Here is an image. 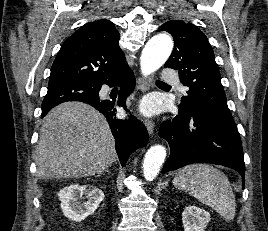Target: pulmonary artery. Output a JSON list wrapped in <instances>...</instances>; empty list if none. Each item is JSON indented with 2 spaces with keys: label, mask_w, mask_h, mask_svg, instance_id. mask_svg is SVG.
<instances>
[{
  "label": "pulmonary artery",
  "mask_w": 268,
  "mask_h": 231,
  "mask_svg": "<svg viewBox=\"0 0 268 231\" xmlns=\"http://www.w3.org/2000/svg\"><path fill=\"white\" fill-rule=\"evenodd\" d=\"M163 79H165L166 82L175 84L176 80L178 79V76L174 71L166 69L163 73ZM180 88L182 91H186V88L184 86H180Z\"/></svg>",
  "instance_id": "1"
}]
</instances>
